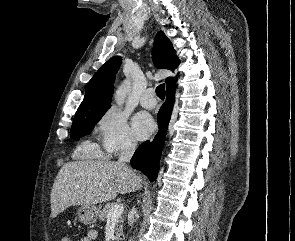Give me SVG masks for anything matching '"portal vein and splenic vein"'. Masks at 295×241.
<instances>
[{
  "label": "portal vein and splenic vein",
  "instance_id": "1",
  "mask_svg": "<svg viewBox=\"0 0 295 241\" xmlns=\"http://www.w3.org/2000/svg\"><path fill=\"white\" fill-rule=\"evenodd\" d=\"M124 212V206L123 204H116L113 206L108 213V222L110 221H116L118 218L121 217L122 213Z\"/></svg>",
  "mask_w": 295,
  "mask_h": 241
}]
</instances>
